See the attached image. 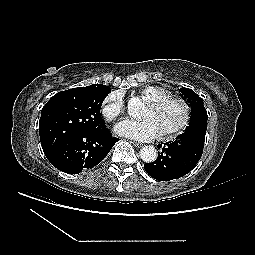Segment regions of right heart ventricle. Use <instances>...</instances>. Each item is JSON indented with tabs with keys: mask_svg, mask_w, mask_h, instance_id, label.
Returning <instances> with one entry per match:
<instances>
[{
	"mask_svg": "<svg viewBox=\"0 0 255 255\" xmlns=\"http://www.w3.org/2000/svg\"><path fill=\"white\" fill-rule=\"evenodd\" d=\"M171 95L170 91L160 86H146L140 91V96L147 102L156 101Z\"/></svg>",
	"mask_w": 255,
	"mask_h": 255,
	"instance_id": "right-heart-ventricle-1",
	"label": "right heart ventricle"
}]
</instances>
